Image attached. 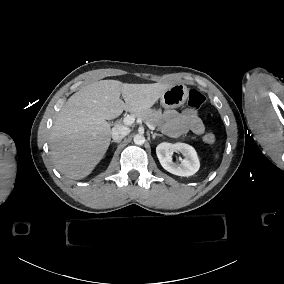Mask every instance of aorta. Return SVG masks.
I'll use <instances>...</instances> for the list:
<instances>
[{
	"instance_id": "1",
	"label": "aorta",
	"mask_w": 284,
	"mask_h": 284,
	"mask_svg": "<svg viewBox=\"0 0 284 284\" xmlns=\"http://www.w3.org/2000/svg\"><path fill=\"white\" fill-rule=\"evenodd\" d=\"M133 140L136 145H142L145 142V137L143 135L136 134Z\"/></svg>"
}]
</instances>
